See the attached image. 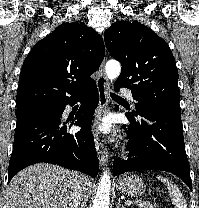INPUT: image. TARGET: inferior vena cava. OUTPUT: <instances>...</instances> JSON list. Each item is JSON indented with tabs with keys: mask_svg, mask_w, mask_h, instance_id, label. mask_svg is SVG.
<instances>
[{
	"mask_svg": "<svg viewBox=\"0 0 199 208\" xmlns=\"http://www.w3.org/2000/svg\"><path fill=\"white\" fill-rule=\"evenodd\" d=\"M85 207L86 197L84 192L83 176L78 173L74 180V186L69 200V208Z\"/></svg>",
	"mask_w": 199,
	"mask_h": 208,
	"instance_id": "obj_1",
	"label": "inferior vena cava"
}]
</instances>
